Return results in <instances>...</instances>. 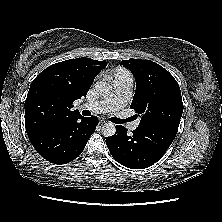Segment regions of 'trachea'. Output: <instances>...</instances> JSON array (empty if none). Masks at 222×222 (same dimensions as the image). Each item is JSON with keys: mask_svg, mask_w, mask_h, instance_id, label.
Here are the masks:
<instances>
[{"mask_svg": "<svg viewBox=\"0 0 222 222\" xmlns=\"http://www.w3.org/2000/svg\"><path fill=\"white\" fill-rule=\"evenodd\" d=\"M82 115H84V116H90V115H91V112L88 111V110H83V111H82ZM111 120H112L114 123H117V124H123L124 122L131 121V119H119V118H112Z\"/></svg>", "mask_w": 222, "mask_h": 222, "instance_id": "1", "label": "trachea"}]
</instances>
